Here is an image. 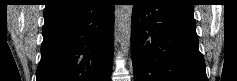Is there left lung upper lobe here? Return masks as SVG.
I'll use <instances>...</instances> for the list:
<instances>
[{"label":"left lung upper lobe","instance_id":"5c2ea615","mask_svg":"<svg viewBox=\"0 0 237 81\" xmlns=\"http://www.w3.org/2000/svg\"><path fill=\"white\" fill-rule=\"evenodd\" d=\"M168 1L180 4V5H184L186 7L194 8L192 0H168Z\"/></svg>","mask_w":237,"mask_h":81}]
</instances>
